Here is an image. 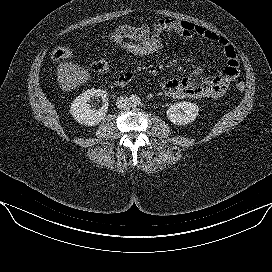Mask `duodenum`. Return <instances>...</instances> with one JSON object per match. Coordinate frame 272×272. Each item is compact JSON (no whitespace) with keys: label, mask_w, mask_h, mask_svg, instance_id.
<instances>
[{"label":"duodenum","mask_w":272,"mask_h":272,"mask_svg":"<svg viewBox=\"0 0 272 272\" xmlns=\"http://www.w3.org/2000/svg\"><path fill=\"white\" fill-rule=\"evenodd\" d=\"M129 82V78L126 75H122L115 80V85L123 86Z\"/></svg>","instance_id":"duodenum-1"}]
</instances>
